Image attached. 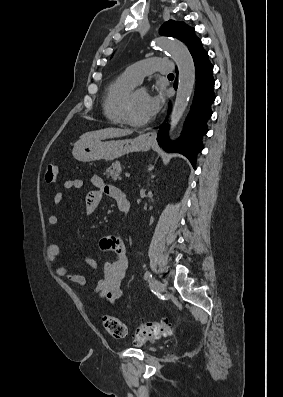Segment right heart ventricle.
<instances>
[{"mask_svg":"<svg viewBox=\"0 0 283 397\" xmlns=\"http://www.w3.org/2000/svg\"><path fill=\"white\" fill-rule=\"evenodd\" d=\"M135 85L136 83L125 74L119 75L108 84L102 103L103 112L108 121L117 125L125 123L123 116L124 102Z\"/></svg>","mask_w":283,"mask_h":397,"instance_id":"right-heart-ventricle-1","label":"right heart ventricle"}]
</instances>
